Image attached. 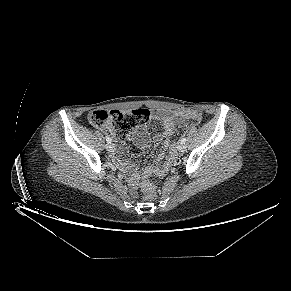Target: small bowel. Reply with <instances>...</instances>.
Returning a JSON list of instances; mask_svg holds the SVG:
<instances>
[{"instance_id": "small-bowel-1", "label": "small bowel", "mask_w": 291, "mask_h": 291, "mask_svg": "<svg viewBox=\"0 0 291 291\" xmlns=\"http://www.w3.org/2000/svg\"><path fill=\"white\" fill-rule=\"evenodd\" d=\"M153 119L159 121L162 123L163 129L159 135L153 138L152 142L156 145L162 144L164 148H167L170 139L174 133V128H175V122H174V114L166 111V110H155L152 115ZM133 139L134 142L136 143L137 146L141 148H146L150 144V138L144 130H138L134 132L133 134ZM163 157V153H160L157 160H161ZM164 167H158L157 165H151L150 167L147 168L146 173L147 174H157V175H162L164 172L162 171ZM139 180V175L137 173H134L132 175V181L134 183L138 182Z\"/></svg>"}]
</instances>
